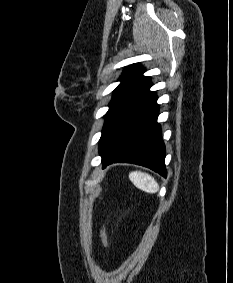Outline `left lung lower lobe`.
<instances>
[{"label":"left lung lower lobe","mask_w":233,"mask_h":283,"mask_svg":"<svg viewBox=\"0 0 233 283\" xmlns=\"http://www.w3.org/2000/svg\"><path fill=\"white\" fill-rule=\"evenodd\" d=\"M151 86L150 82L99 148L103 168L112 163L128 162L167 176L165 146L157 123L159 107L156 93L149 90Z\"/></svg>","instance_id":"left-lung-lower-lobe-1"}]
</instances>
